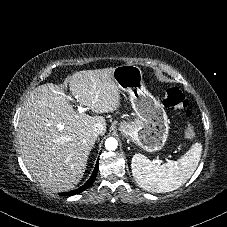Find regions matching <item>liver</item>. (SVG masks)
Segmentation results:
<instances>
[{"label": "liver", "mask_w": 227, "mask_h": 227, "mask_svg": "<svg viewBox=\"0 0 227 227\" xmlns=\"http://www.w3.org/2000/svg\"><path fill=\"white\" fill-rule=\"evenodd\" d=\"M114 68L83 70L63 84L36 87L23 105L19 120V144L23 161L40 186L53 192L73 189L82 179L97 136L93 125L106 127L103 116L77 112L64 88L81 106L101 114L120 105Z\"/></svg>", "instance_id": "liver-1"}]
</instances>
